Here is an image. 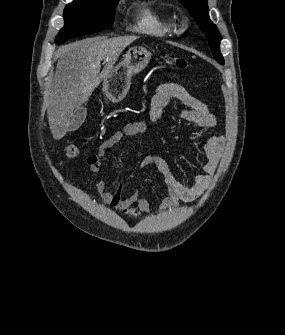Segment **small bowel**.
<instances>
[{
    "mask_svg": "<svg viewBox=\"0 0 285 335\" xmlns=\"http://www.w3.org/2000/svg\"><path fill=\"white\" fill-rule=\"evenodd\" d=\"M169 108H173L191 128L205 129L216 125V119L207 105L188 93L176 81H167L156 88L150 102L149 115L151 120L155 123L161 122L165 110ZM168 128L172 129L173 127L168 125ZM147 133V125L142 121L135 120L127 123L122 130L109 137L103 142L98 153L87 159L93 176L95 177L97 170L109 160L111 148L125 139ZM224 144V138L221 136H213L206 142L202 149L203 161L200 164L202 174L194 176L188 184L174 176L168 163L161 156H149L142 160L140 167L155 166L162 174L167 186L168 196L162 201L159 212L175 208L180 201L191 202L203 194L217 169ZM94 187L104 204L112 206L127 216L137 217L150 213L148 198L140 195L138 191L124 196L121 187H119L111 192L107 190L105 182L96 177Z\"/></svg>",
    "mask_w": 285,
    "mask_h": 335,
    "instance_id": "obj_1",
    "label": "small bowel"
}]
</instances>
